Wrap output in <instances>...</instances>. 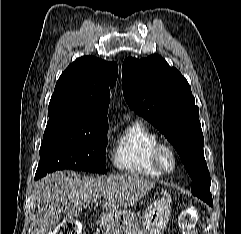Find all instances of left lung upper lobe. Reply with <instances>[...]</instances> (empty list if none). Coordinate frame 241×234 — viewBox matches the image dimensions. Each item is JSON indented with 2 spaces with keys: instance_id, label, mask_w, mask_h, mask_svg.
<instances>
[{
  "instance_id": "obj_1",
  "label": "left lung upper lobe",
  "mask_w": 241,
  "mask_h": 234,
  "mask_svg": "<svg viewBox=\"0 0 241 234\" xmlns=\"http://www.w3.org/2000/svg\"><path fill=\"white\" fill-rule=\"evenodd\" d=\"M123 95L129 107L150 121L175 147L192 178L193 195L213 206L204 159L199 108L187 80L159 55L122 65Z\"/></svg>"
}]
</instances>
